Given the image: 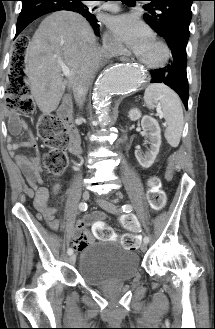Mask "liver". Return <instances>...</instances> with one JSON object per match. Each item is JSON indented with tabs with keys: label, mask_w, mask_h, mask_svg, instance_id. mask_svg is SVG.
<instances>
[{
	"label": "liver",
	"mask_w": 215,
	"mask_h": 329,
	"mask_svg": "<svg viewBox=\"0 0 215 329\" xmlns=\"http://www.w3.org/2000/svg\"><path fill=\"white\" fill-rule=\"evenodd\" d=\"M94 48V32L77 13L59 11L41 22L25 55L31 94L41 112L57 109L66 86L73 87L84 57ZM63 65L70 69L68 80L62 78Z\"/></svg>",
	"instance_id": "obj_1"
}]
</instances>
